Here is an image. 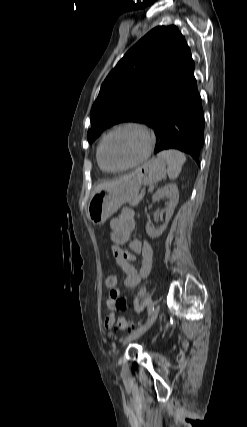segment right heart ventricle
I'll return each mask as SVG.
<instances>
[{"instance_id": "right-heart-ventricle-1", "label": "right heart ventricle", "mask_w": 247, "mask_h": 427, "mask_svg": "<svg viewBox=\"0 0 247 427\" xmlns=\"http://www.w3.org/2000/svg\"><path fill=\"white\" fill-rule=\"evenodd\" d=\"M97 161H98L99 167H100L102 170H104V169L102 168V166L100 165L99 160H98V150H97Z\"/></svg>"}]
</instances>
